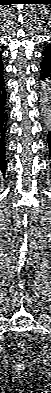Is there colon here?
Returning <instances> with one entry per match:
<instances>
[{
	"instance_id": "5ec220e1",
	"label": "colon",
	"mask_w": 51,
	"mask_h": 393,
	"mask_svg": "<svg viewBox=\"0 0 51 393\" xmlns=\"http://www.w3.org/2000/svg\"><path fill=\"white\" fill-rule=\"evenodd\" d=\"M20 349L25 352L27 350V343L26 342H21L19 343Z\"/></svg>"
}]
</instances>
